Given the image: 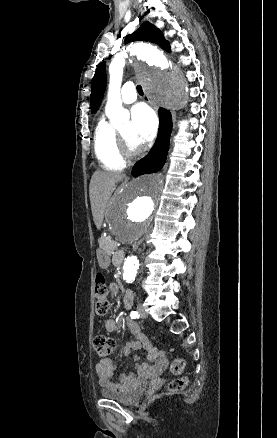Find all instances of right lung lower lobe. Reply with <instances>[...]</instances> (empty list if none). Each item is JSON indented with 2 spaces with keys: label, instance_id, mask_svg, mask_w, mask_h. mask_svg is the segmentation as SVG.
I'll return each mask as SVG.
<instances>
[{
  "label": "right lung lower lobe",
  "instance_id": "1",
  "mask_svg": "<svg viewBox=\"0 0 277 438\" xmlns=\"http://www.w3.org/2000/svg\"><path fill=\"white\" fill-rule=\"evenodd\" d=\"M160 127L156 142L146 157L139 160L132 170V175L137 177L160 170L168 154L169 138L172 131L171 113L163 108L159 109Z\"/></svg>",
  "mask_w": 277,
  "mask_h": 438
}]
</instances>
